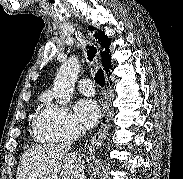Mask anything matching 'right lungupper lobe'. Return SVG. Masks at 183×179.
Here are the masks:
<instances>
[{
  "label": "right lung upper lobe",
  "mask_w": 183,
  "mask_h": 179,
  "mask_svg": "<svg viewBox=\"0 0 183 179\" xmlns=\"http://www.w3.org/2000/svg\"><path fill=\"white\" fill-rule=\"evenodd\" d=\"M92 29L93 27L89 26V30L92 31ZM95 36L98 39V41L101 42V46L106 49V51L101 52V62L102 66L104 67V70L106 72H109L112 67L111 58L109 54L110 39L104 34V32L101 31H98V33H96Z\"/></svg>",
  "instance_id": "cb5924a9"
}]
</instances>
